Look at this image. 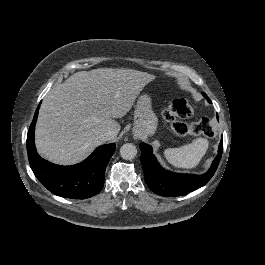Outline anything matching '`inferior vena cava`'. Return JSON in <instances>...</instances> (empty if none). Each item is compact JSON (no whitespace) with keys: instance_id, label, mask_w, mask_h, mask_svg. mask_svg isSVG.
<instances>
[{"instance_id":"obj_1","label":"inferior vena cava","mask_w":265,"mask_h":265,"mask_svg":"<svg viewBox=\"0 0 265 265\" xmlns=\"http://www.w3.org/2000/svg\"><path fill=\"white\" fill-rule=\"evenodd\" d=\"M104 137L106 140H112L115 138V132L112 128H107L104 132Z\"/></svg>"}]
</instances>
